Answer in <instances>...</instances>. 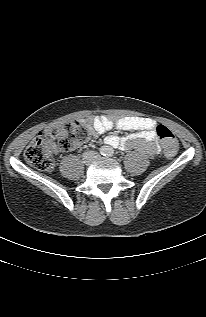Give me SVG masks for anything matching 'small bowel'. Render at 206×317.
I'll return each instance as SVG.
<instances>
[{
    "instance_id": "small-bowel-1",
    "label": "small bowel",
    "mask_w": 206,
    "mask_h": 317,
    "mask_svg": "<svg viewBox=\"0 0 206 317\" xmlns=\"http://www.w3.org/2000/svg\"><path fill=\"white\" fill-rule=\"evenodd\" d=\"M81 124L91 129L93 133L102 134L111 129L132 131L133 133L119 137L109 135L105 138L106 144L120 149H136L149 155L159 152L158 137L156 134L157 123L151 118L144 117H121L112 119L107 116H96L84 119ZM79 146L76 145L73 149ZM52 150H56L52 145Z\"/></svg>"
}]
</instances>
